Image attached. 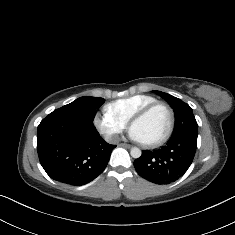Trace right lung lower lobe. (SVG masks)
<instances>
[{
    "mask_svg": "<svg viewBox=\"0 0 235 235\" xmlns=\"http://www.w3.org/2000/svg\"><path fill=\"white\" fill-rule=\"evenodd\" d=\"M116 145H109L93 121L55 110L44 118L37 130L40 163L54 180L81 186L101 174Z\"/></svg>",
    "mask_w": 235,
    "mask_h": 235,
    "instance_id": "right-lung-lower-lobe-1",
    "label": "right lung lower lobe"
}]
</instances>
